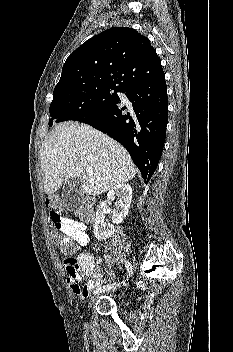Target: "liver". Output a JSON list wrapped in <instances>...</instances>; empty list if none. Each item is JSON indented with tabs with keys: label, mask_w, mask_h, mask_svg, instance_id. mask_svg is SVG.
<instances>
[{
	"label": "liver",
	"mask_w": 233,
	"mask_h": 352,
	"mask_svg": "<svg viewBox=\"0 0 233 352\" xmlns=\"http://www.w3.org/2000/svg\"><path fill=\"white\" fill-rule=\"evenodd\" d=\"M44 189L53 195L63 183L79 178L82 193L99 195L128 182L137 169L127 150L106 134L83 123H60L40 149ZM90 167L91 175L84 170Z\"/></svg>",
	"instance_id": "6515ba94"
}]
</instances>
